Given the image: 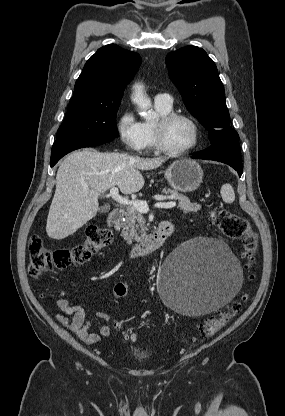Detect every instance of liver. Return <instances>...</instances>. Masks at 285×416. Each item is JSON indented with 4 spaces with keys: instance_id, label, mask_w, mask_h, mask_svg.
Returning a JSON list of instances; mask_svg holds the SVG:
<instances>
[{
    "instance_id": "1",
    "label": "liver",
    "mask_w": 285,
    "mask_h": 416,
    "mask_svg": "<svg viewBox=\"0 0 285 416\" xmlns=\"http://www.w3.org/2000/svg\"><path fill=\"white\" fill-rule=\"evenodd\" d=\"M164 158H134L128 154H100L83 148L66 156L56 176L46 232L53 240H64L95 218L98 198L118 186L122 194H136L145 182L139 170H155Z\"/></svg>"
}]
</instances>
